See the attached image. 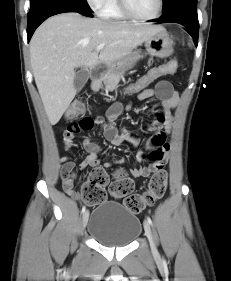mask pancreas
I'll return each mask as SVG.
<instances>
[{"label":"pancreas","instance_id":"cf45deb5","mask_svg":"<svg viewBox=\"0 0 231 281\" xmlns=\"http://www.w3.org/2000/svg\"><path fill=\"white\" fill-rule=\"evenodd\" d=\"M124 74V71L108 70L104 75L100 77V79L95 80L92 83V90L98 91L99 89H103V87L105 86L106 90L113 91L117 88V85Z\"/></svg>","mask_w":231,"mask_h":281}]
</instances>
